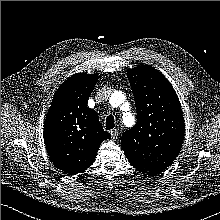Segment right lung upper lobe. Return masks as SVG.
Instances as JSON below:
<instances>
[{
    "instance_id": "right-lung-upper-lobe-1",
    "label": "right lung upper lobe",
    "mask_w": 220,
    "mask_h": 220,
    "mask_svg": "<svg viewBox=\"0 0 220 220\" xmlns=\"http://www.w3.org/2000/svg\"><path fill=\"white\" fill-rule=\"evenodd\" d=\"M98 75L76 73L56 91L44 123L47 152L68 175L85 171L100 144L111 135L104 131L95 110L87 106Z\"/></svg>"
}]
</instances>
